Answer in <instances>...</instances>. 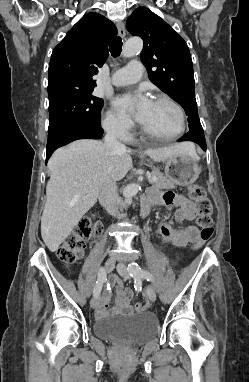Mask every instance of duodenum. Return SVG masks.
I'll return each mask as SVG.
<instances>
[{
  "mask_svg": "<svg viewBox=\"0 0 249 382\" xmlns=\"http://www.w3.org/2000/svg\"><path fill=\"white\" fill-rule=\"evenodd\" d=\"M148 205H149V202H144L143 205H142V210H141V213H142V216H146L147 213H148Z\"/></svg>",
  "mask_w": 249,
  "mask_h": 382,
  "instance_id": "1",
  "label": "duodenum"
}]
</instances>
